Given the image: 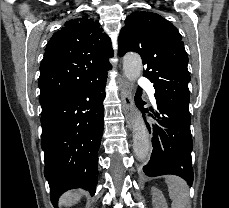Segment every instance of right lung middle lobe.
I'll return each mask as SVG.
<instances>
[{
  "mask_svg": "<svg viewBox=\"0 0 229 208\" xmlns=\"http://www.w3.org/2000/svg\"><path fill=\"white\" fill-rule=\"evenodd\" d=\"M42 106V111L46 110L47 108L50 107V105H41Z\"/></svg>",
  "mask_w": 229,
  "mask_h": 208,
  "instance_id": "dd1d6c3e",
  "label": "right lung middle lobe"
}]
</instances>
